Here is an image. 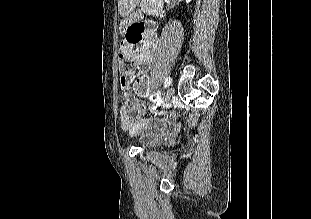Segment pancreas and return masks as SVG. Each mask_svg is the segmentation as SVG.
Here are the masks:
<instances>
[{
  "label": "pancreas",
  "mask_w": 311,
  "mask_h": 219,
  "mask_svg": "<svg viewBox=\"0 0 311 219\" xmlns=\"http://www.w3.org/2000/svg\"><path fill=\"white\" fill-rule=\"evenodd\" d=\"M159 7V0H142L140 8L144 13H150L156 7Z\"/></svg>",
  "instance_id": "pancreas-1"
}]
</instances>
